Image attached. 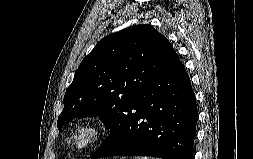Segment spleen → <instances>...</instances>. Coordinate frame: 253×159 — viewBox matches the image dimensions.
Here are the masks:
<instances>
[{
	"label": "spleen",
	"mask_w": 253,
	"mask_h": 159,
	"mask_svg": "<svg viewBox=\"0 0 253 159\" xmlns=\"http://www.w3.org/2000/svg\"><path fill=\"white\" fill-rule=\"evenodd\" d=\"M135 159H159V158H151V157H136Z\"/></svg>",
	"instance_id": "spleen-1"
}]
</instances>
